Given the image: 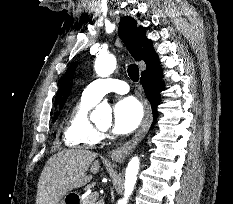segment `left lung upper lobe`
<instances>
[{"mask_svg":"<svg viewBox=\"0 0 233 204\" xmlns=\"http://www.w3.org/2000/svg\"><path fill=\"white\" fill-rule=\"evenodd\" d=\"M70 90H71V86H69L68 90L66 91V93H65V95H64V97H63V99H62V101H61V103H60V105H59V108H60V109L63 108V106H64V104H65V102H66V99H67V97H68V94H69ZM57 116H58V113L55 114V116H54V121L56 120Z\"/></svg>","mask_w":233,"mask_h":204,"instance_id":"left-lung-upper-lobe-1","label":"left lung upper lobe"}]
</instances>
